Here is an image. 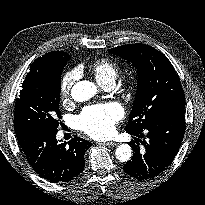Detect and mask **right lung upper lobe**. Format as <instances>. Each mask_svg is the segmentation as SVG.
I'll use <instances>...</instances> for the list:
<instances>
[{
	"instance_id": "right-lung-upper-lobe-1",
	"label": "right lung upper lobe",
	"mask_w": 205,
	"mask_h": 205,
	"mask_svg": "<svg viewBox=\"0 0 205 205\" xmlns=\"http://www.w3.org/2000/svg\"><path fill=\"white\" fill-rule=\"evenodd\" d=\"M70 56L67 52H49L42 57L37 58L30 67L28 74L40 72L43 70L54 68L60 64L67 62Z\"/></svg>"
}]
</instances>
